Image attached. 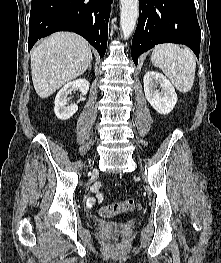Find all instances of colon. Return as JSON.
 <instances>
[{"label": "colon", "instance_id": "5ec220e1", "mask_svg": "<svg viewBox=\"0 0 221 263\" xmlns=\"http://www.w3.org/2000/svg\"><path fill=\"white\" fill-rule=\"evenodd\" d=\"M138 204L133 199H126L121 202H114L104 205L99 213L102 217H114L122 213H129L136 210Z\"/></svg>", "mask_w": 221, "mask_h": 263}]
</instances>
